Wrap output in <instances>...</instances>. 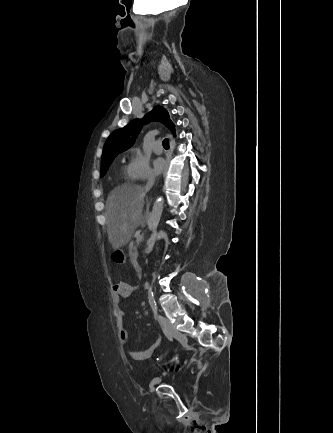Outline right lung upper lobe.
Wrapping results in <instances>:
<instances>
[{
  "mask_svg": "<svg viewBox=\"0 0 333 433\" xmlns=\"http://www.w3.org/2000/svg\"><path fill=\"white\" fill-rule=\"evenodd\" d=\"M149 119L160 121L172 132L174 136L176 135L175 125L170 120L168 111L161 106H155L151 112L144 116L143 120L135 119L124 128L113 132L104 146L102 162L129 149L134 144L143 124L148 122Z\"/></svg>",
  "mask_w": 333,
  "mask_h": 433,
  "instance_id": "1",
  "label": "right lung upper lobe"
}]
</instances>
